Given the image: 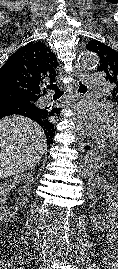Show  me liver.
Returning a JSON list of instances; mask_svg holds the SVG:
<instances>
[{"label":"liver","instance_id":"liver-1","mask_svg":"<svg viewBox=\"0 0 118 269\" xmlns=\"http://www.w3.org/2000/svg\"><path fill=\"white\" fill-rule=\"evenodd\" d=\"M46 150L45 134L36 122L20 115L0 120V179L33 168Z\"/></svg>","mask_w":118,"mask_h":269}]
</instances>
